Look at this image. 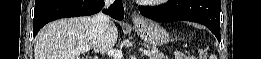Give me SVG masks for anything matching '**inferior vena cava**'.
Segmentation results:
<instances>
[{"label":"inferior vena cava","mask_w":261,"mask_h":59,"mask_svg":"<svg viewBox=\"0 0 261 59\" xmlns=\"http://www.w3.org/2000/svg\"><path fill=\"white\" fill-rule=\"evenodd\" d=\"M114 0H104V8H108L113 4ZM110 25L109 17L103 12H99L92 18V27L100 34L105 33Z\"/></svg>","instance_id":"inferior-vena-cava-1"}]
</instances>
